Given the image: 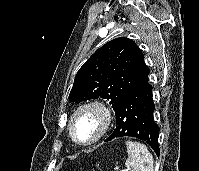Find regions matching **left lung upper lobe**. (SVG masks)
I'll use <instances>...</instances> for the list:
<instances>
[{
  "label": "left lung upper lobe",
  "instance_id": "left-lung-upper-lobe-1",
  "mask_svg": "<svg viewBox=\"0 0 199 171\" xmlns=\"http://www.w3.org/2000/svg\"><path fill=\"white\" fill-rule=\"evenodd\" d=\"M142 51L131 39L120 37L103 45L76 74L69 100H110L114 111L125 96L149 73Z\"/></svg>",
  "mask_w": 199,
  "mask_h": 171
}]
</instances>
